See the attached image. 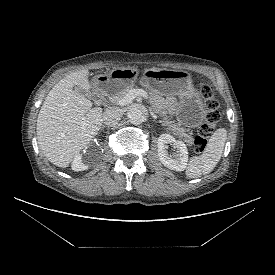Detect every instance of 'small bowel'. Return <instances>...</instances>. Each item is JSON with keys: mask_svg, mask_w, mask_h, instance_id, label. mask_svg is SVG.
Masks as SVG:
<instances>
[{"mask_svg": "<svg viewBox=\"0 0 275 275\" xmlns=\"http://www.w3.org/2000/svg\"><path fill=\"white\" fill-rule=\"evenodd\" d=\"M166 105H167V107L169 108V109H173L174 108V105H175V103H174V101L172 100V99H168L167 101H166Z\"/></svg>", "mask_w": 275, "mask_h": 275, "instance_id": "small-bowel-1", "label": "small bowel"}]
</instances>
